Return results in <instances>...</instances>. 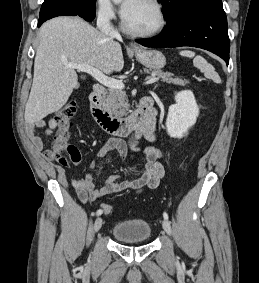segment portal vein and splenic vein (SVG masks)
Instances as JSON below:
<instances>
[{"label": "portal vein and splenic vein", "mask_w": 259, "mask_h": 283, "mask_svg": "<svg viewBox=\"0 0 259 283\" xmlns=\"http://www.w3.org/2000/svg\"><path fill=\"white\" fill-rule=\"evenodd\" d=\"M66 67L77 69L78 71H82V72H86L90 74L92 77H94L99 83H101L105 87H108L111 89H124V83L121 80L109 78L105 76L100 70L92 66L70 63V64H67ZM158 80H159L158 77H154V76L148 77L146 79L145 84H152Z\"/></svg>", "instance_id": "1"}]
</instances>
